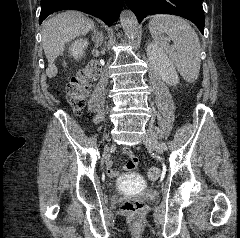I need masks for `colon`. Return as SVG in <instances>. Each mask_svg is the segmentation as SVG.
<instances>
[{
	"mask_svg": "<svg viewBox=\"0 0 240 238\" xmlns=\"http://www.w3.org/2000/svg\"><path fill=\"white\" fill-rule=\"evenodd\" d=\"M99 75V67L96 64H90L79 70L72 77L67 85V99L76 113H80L85 105L90 87L96 77ZM161 175V169L158 166H152L148 170V176L151 179H157ZM143 207V203L139 200H125L120 208L128 213L135 214Z\"/></svg>",
	"mask_w": 240,
	"mask_h": 238,
	"instance_id": "colon-1",
	"label": "colon"
}]
</instances>
